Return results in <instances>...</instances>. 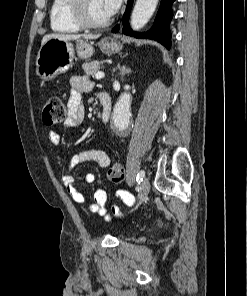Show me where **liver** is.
Returning a JSON list of instances; mask_svg holds the SVG:
<instances>
[{
    "instance_id": "1",
    "label": "liver",
    "mask_w": 247,
    "mask_h": 296,
    "mask_svg": "<svg viewBox=\"0 0 247 296\" xmlns=\"http://www.w3.org/2000/svg\"><path fill=\"white\" fill-rule=\"evenodd\" d=\"M84 38L86 40L97 39L100 35H78V34H58V33H51L47 34L42 39V45L48 41L49 39L56 38L63 41H70V40H78L80 38Z\"/></svg>"
}]
</instances>
